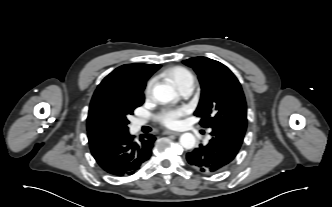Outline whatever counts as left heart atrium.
<instances>
[{
	"mask_svg": "<svg viewBox=\"0 0 332 207\" xmlns=\"http://www.w3.org/2000/svg\"><path fill=\"white\" fill-rule=\"evenodd\" d=\"M186 113V108L165 110L159 115V120L164 126L175 128L180 125L181 117Z\"/></svg>",
	"mask_w": 332,
	"mask_h": 207,
	"instance_id": "obj_1",
	"label": "left heart atrium"
}]
</instances>
